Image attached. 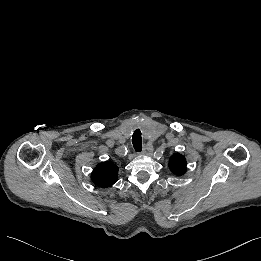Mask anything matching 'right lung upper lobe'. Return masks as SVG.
Listing matches in <instances>:
<instances>
[{
  "instance_id": "obj_1",
  "label": "right lung upper lobe",
  "mask_w": 261,
  "mask_h": 261,
  "mask_svg": "<svg viewBox=\"0 0 261 261\" xmlns=\"http://www.w3.org/2000/svg\"><path fill=\"white\" fill-rule=\"evenodd\" d=\"M118 167L106 161L96 166L92 173V181L100 187L112 186L117 181Z\"/></svg>"
}]
</instances>
